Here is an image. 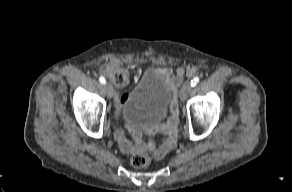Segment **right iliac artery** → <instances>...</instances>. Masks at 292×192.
<instances>
[{"instance_id": "82829eb1", "label": "right iliac artery", "mask_w": 292, "mask_h": 192, "mask_svg": "<svg viewBox=\"0 0 292 192\" xmlns=\"http://www.w3.org/2000/svg\"><path fill=\"white\" fill-rule=\"evenodd\" d=\"M99 81L101 84H105L106 83V79L103 76L99 77Z\"/></svg>"}]
</instances>
